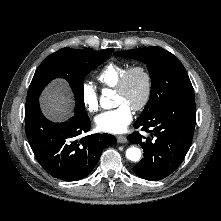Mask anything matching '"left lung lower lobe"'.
I'll return each instance as SVG.
<instances>
[{
	"instance_id": "obj_1",
	"label": "left lung lower lobe",
	"mask_w": 221,
	"mask_h": 221,
	"mask_svg": "<svg viewBox=\"0 0 221 221\" xmlns=\"http://www.w3.org/2000/svg\"><path fill=\"white\" fill-rule=\"evenodd\" d=\"M195 119V100L176 101L155 109L144 119H137L134 127H141L150 136L143 137L136 131L127 137L144 151L143 159L133 167L134 173L150 181L169 176L191 146Z\"/></svg>"
}]
</instances>
